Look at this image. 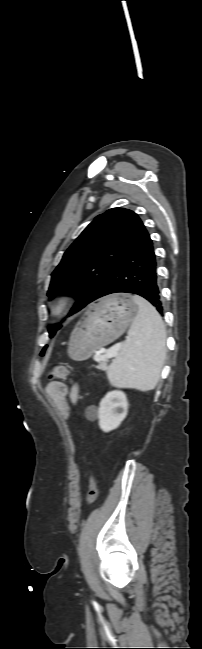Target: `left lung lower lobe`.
<instances>
[{"label":"left lung lower lobe","instance_id":"0a47b994","mask_svg":"<svg viewBox=\"0 0 202 649\" xmlns=\"http://www.w3.org/2000/svg\"><path fill=\"white\" fill-rule=\"evenodd\" d=\"M156 265L152 240L143 225L106 277L96 299L118 292L138 294L150 301L163 316ZM45 349L46 346L41 354Z\"/></svg>","mask_w":202,"mask_h":649}]
</instances>
